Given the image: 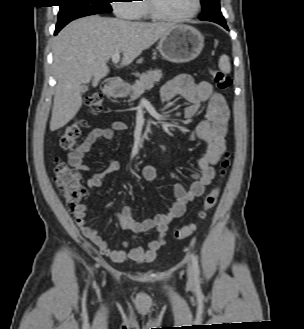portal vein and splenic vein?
<instances>
[{
	"instance_id": "1",
	"label": "portal vein and splenic vein",
	"mask_w": 304,
	"mask_h": 329,
	"mask_svg": "<svg viewBox=\"0 0 304 329\" xmlns=\"http://www.w3.org/2000/svg\"><path fill=\"white\" fill-rule=\"evenodd\" d=\"M120 61V54L119 53H115L112 55V62L114 64H117Z\"/></svg>"
}]
</instances>
